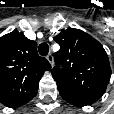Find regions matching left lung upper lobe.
Wrapping results in <instances>:
<instances>
[{"label": "left lung upper lobe", "instance_id": "1", "mask_svg": "<svg viewBox=\"0 0 114 114\" xmlns=\"http://www.w3.org/2000/svg\"><path fill=\"white\" fill-rule=\"evenodd\" d=\"M60 50L54 54L51 73L58 90L98 100L111 77L108 56L103 46L89 34L69 28L55 36ZM62 63L63 69H59Z\"/></svg>", "mask_w": 114, "mask_h": 114}]
</instances>
